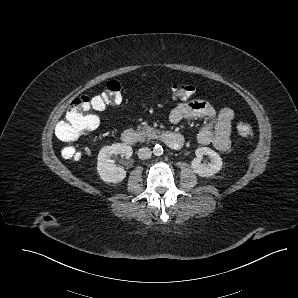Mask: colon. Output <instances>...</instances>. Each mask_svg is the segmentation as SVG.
Wrapping results in <instances>:
<instances>
[{"label": "colon", "instance_id": "colon-1", "mask_svg": "<svg viewBox=\"0 0 298 298\" xmlns=\"http://www.w3.org/2000/svg\"><path fill=\"white\" fill-rule=\"evenodd\" d=\"M194 93L195 88L190 84L174 83L171 86V95L175 100H188ZM121 101V85L116 80L107 82L103 91L97 96H77L72 101L64 118L57 125V136L64 141H74L91 132L98 125V117L94 111H103L110 105L120 104ZM237 131L246 140L253 138V127L248 122H239Z\"/></svg>", "mask_w": 298, "mask_h": 298}]
</instances>
